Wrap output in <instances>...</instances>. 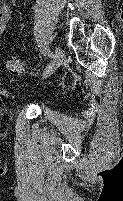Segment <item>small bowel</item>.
Instances as JSON below:
<instances>
[{"label":"small bowel","mask_w":123,"mask_h":201,"mask_svg":"<svg viewBox=\"0 0 123 201\" xmlns=\"http://www.w3.org/2000/svg\"><path fill=\"white\" fill-rule=\"evenodd\" d=\"M10 18H11L10 6L7 4L0 6V34L4 32Z\"/></svg>","instance_id":"small-bowel-1"}]
</instances>
